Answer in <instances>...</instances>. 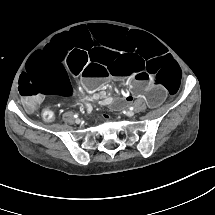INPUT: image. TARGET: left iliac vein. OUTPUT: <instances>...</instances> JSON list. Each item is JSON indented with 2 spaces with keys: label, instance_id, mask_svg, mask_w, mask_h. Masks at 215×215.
Wrapping results in <instances>:
<instances>
[{
  "label": "left iliac vein",
  "instance_id": "4c4485c4",
  "mask_svg": "<svg viewBox=\"0 0 215 215\" xmlns=\"http://www.w3.org/2000/svg\"><path fill=\"white\" fill-rule=\"evenodd\" d=\"M128 117H134V112L133 111H131V110H129V111H127L126 113H125Z\"/></svg>",
  "mask_w": 215,
  "mask_h": 215
}]
</instances>
